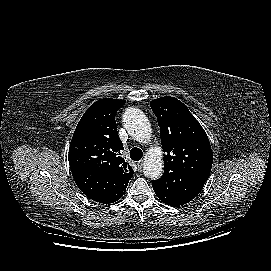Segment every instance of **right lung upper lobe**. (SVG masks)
<instances>
[{"label":"right lung upper lobe","instance_id":"cb5924a9","mask_svg":"<svg viewBox=\"0 0 271 271\" xmlns=\"http://www.w3.org/2000/svg\"><path fill=\"white\" fill-rule=\"evenodd\" d=\"M124 104L125 100L100 99L83 114L69 147L72 172H96L128 184L134 172L121 157L123 144L115 122L116 113Z\"/></svg>","mask_w":271,"mask_h":271}]
</instances>
